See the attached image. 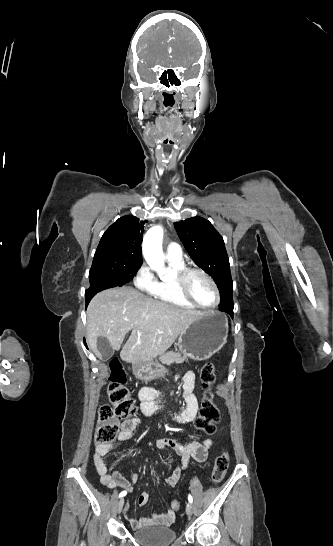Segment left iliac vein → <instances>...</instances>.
<instances>
[{
  "instance_id": "1",
  "label": "left iliac vein",
  "mask_w": 333,
  "mask_h": 546,
  "mask_svg": "<svg viewBox=\"0 0 333 546\" xmlns=\"http://www.w3.org/2000/svg\"><path fill=\"white\" fill-rule=\"evenodd\" d=\"M193 512V505L191 503H188L187 506H186V513L188 515H191Z\"/></svg>"
}]
</instances>
